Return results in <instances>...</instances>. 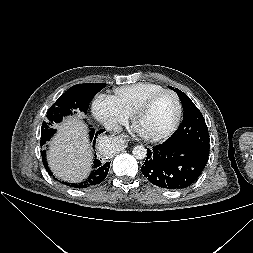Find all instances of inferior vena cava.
<instances>
[{
  "instance_id": "inferior-vena-cava-1",
  "label": "inferior vena cava",
  "mask_w": 253,
  "mask_h": 253,
  "mask_svg": "<svg viewBox=\"0 0 253 253\" xmlns=\"http://www.w3.org/2000/svg\"><path fill=\"white\" fill-rule=\"evenodd\" d=\"M104 127L108 131H114V132H121V130H122V127L114 120H107L104 123Z\"/></svg>"
}]
</instances>
